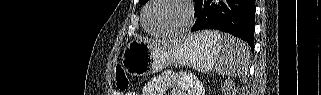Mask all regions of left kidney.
<instances>
[{"label": "left kidney", "mask_w": 321, "mask_h": 95, "mask_svg": "<svg viewBox=\"0 0 321 95\" xmlns=\"http://www.w3.org/2000/svg\"><path fill=\"white\" fill-rule=\"evenodd\" d=\"M222 90H223L224 92H226L227 95H236V91L233 90L232 87H228V88L224 87V88H222Z\"/></svg>", "instance_id": "obj_1"}]
</instances>
